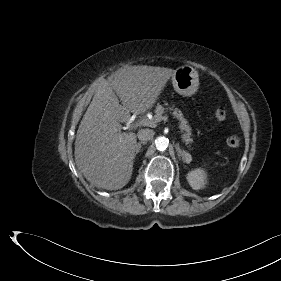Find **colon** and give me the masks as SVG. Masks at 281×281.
I'll use <instances>...</instances> for the list:
<instances>
[{
	"label": "colon",
	"mask_w": 281,
	"mask_h": 281,
	"mask_svg": "<svg viewBox=\"0 0 281 281\" xmlns=\"http://www.w3.org/2000/svg\"><path fill=\"white\" fill-rule=\"evenodd\" d=\"M211 117L216 122H223L226 119V111L223 107H217L212 112ZM226 142L230 148H238L241 144L240 138L235 135L228 137Z\"/></svg>",
	"instance_id": "colon-1"
}]
</instances>
